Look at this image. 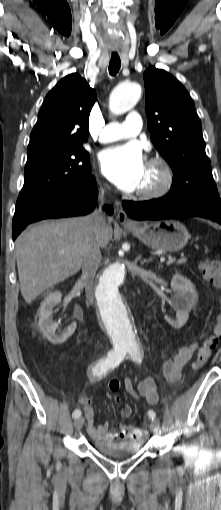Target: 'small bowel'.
<instances>
[{"instance_id": "obj_1", "label": "small bowel", "mask_w": 221, "mask_h": 510, "mask_svg": "<svg viewBox=\"0 0 221 510\" xmlns=\"http://www.w3.org/2000/svg\"><path fill=\"white\" fill-rule=\"evenodd\" d=\"M198 343H191L189 345L181 347L173 358L167 359L163 364V373L166 380L171 384H176L182 374L184 366L192 359ZM125 388L128 393L137 398H143L148 404L154 405L158 401L157 387L154 380L150 377H146L139 382H134L132 379H127L125 382ZM79 402L84 406V415L87 421V431L89 435L96 441H116L123 439H133L132 428L128 425H122L120 431L111 432L110 423L108 421L103 422L100 425H95V412L93 409L92 400L89 397L81 396ZM129 408L130 416L132 409Z\"/></svg>"}]
</instances>
